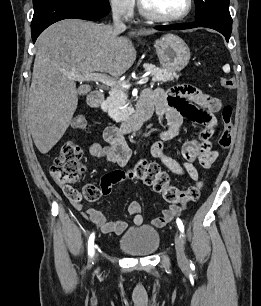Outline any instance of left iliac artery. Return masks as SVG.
Wrapping results in <instances>:
<instances>
[{
    "label": "left iliac artery",
    "instance_id": "left-iliac-artery-1",
    "mask_svg": "<svg viewBox=\"0 0 261 306\" xmlns=\"http://www.w3.org/2000/svg\"><path fill=\"white\" fill-rule=\"evenodd\" d=\"M176 223H177V226H178L180 232H181L182 234H184V225H183L181 219L177 218V219H176Z\"/></svg>",
    "mask_w": 261,
    "mask_h": 306
}]
</instances>
